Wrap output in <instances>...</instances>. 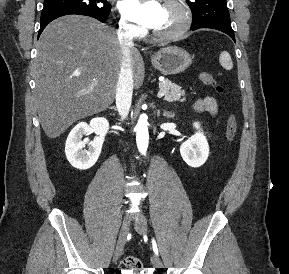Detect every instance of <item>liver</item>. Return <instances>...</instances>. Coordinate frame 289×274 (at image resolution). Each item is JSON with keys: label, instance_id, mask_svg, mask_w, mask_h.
<instances>
[{"label": "liver", "instance_id": "liver-1", "mask_svg": "<svg viewBox=\"0 0 289 274\" xmlns=\"http://www.w3.org/2000/svg\"><path fill=\"white\" fill-rule=\"evenodd\" d=\"M122 57L115 32L93 18L68 15L45 28L37 43L33 73L38 116L49 138L59 137L77 120L113 103ZM130 57L138 89L144 80V63L134 46Z\"/></svg>", "mask_w": 289, "mask_h": 274}]
</instances>
